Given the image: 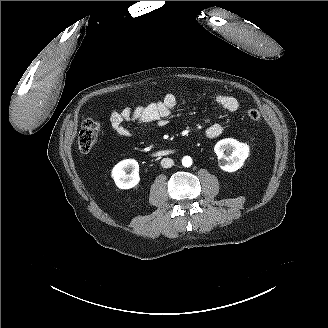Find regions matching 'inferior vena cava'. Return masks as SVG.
<instances>
[{
    "mask_svg": "<svg viewBox=\"0 0 328 328\" xmlns=\"http://www.w3.org/2000/svg\"><path fill=\"white\" fill-rule=\"evenodd\" d=\"M173 165H174V162H173V160L170 159V158H163V159L161 160V166H162L163 168H170V167H172Z\"/></svg>",
    "mask_w": 328,
    "mask_h": 328,
    "instance_id": "obj_1",
    "label": "inferior vena cava"
}]
</instances>
